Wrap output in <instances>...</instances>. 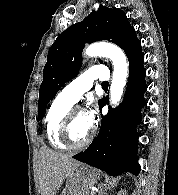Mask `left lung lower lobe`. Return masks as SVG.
<instances>
[{"label":"left lung lower lobe","mask_w":178,"mask_h":195,"mask_svg":"<svg viewBox=\"0 0 178 195\" xmlns=\"http://www.w3.org/2000/svg\"><path fill=\"white\" fill-rule=\"evenodd\" d=\"M143 61V53L129 60V78L123 102L102 117L98 136L85 151L73 158L110 175L126 171L138 175L141 167L136 157L138 138L134 130L141 120L140 109L146 104L143 96L147 90ZM104 105L106 98L99 101V109Z\"/></svg>","instance_id":"obj_1"}]
</instances>
